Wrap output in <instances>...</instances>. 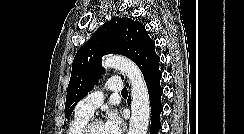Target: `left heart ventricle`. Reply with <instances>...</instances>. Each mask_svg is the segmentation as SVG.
<instances>
[{
	"label": "left heart ventricle",
	"instance_id": "b2bd125f",
	"mask_svg": "<svg viewBox=\"0 0 244 134\" xmlns=\"http://www.w3.org/2000/svg\"><path fill=\"white\" fill-rule=\"evenodd\" d=\"M91 134H106V133H105V129H104L103 124H98V125H96V126L93 128Z\"/></svg>",
	"mask_w": 244,
	"mask_h": 134
}]
</instances>
